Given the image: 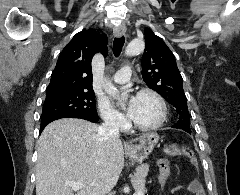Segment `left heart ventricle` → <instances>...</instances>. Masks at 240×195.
Instances as JSON below:
<instances>
[{
  "label": "left heart ventricle",
  "instance_id": "1",
  "mask_svg": "<svg viewBox=\"0 0 240 195\" xmlns=\"http://www.w3.org/2000/svg\"><path fill=\"white\" fill-rule=\"evenodd\" d=\"M159 104L157 100L148 94L137 96L130 115L131 120L138 125H149L154 123L159 117Z\"/></svg>",
  "mask_w": 240,
  "mask_h": 195
}]
</instances>
